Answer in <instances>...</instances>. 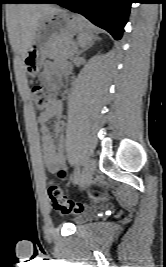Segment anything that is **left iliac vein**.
<instances>
[{
    "label": "left iliac vein",
    "instance_id": "obj_1",
    "mask_svg": "<svg viewBox=\"0 0 166 267\" xmlns=\"http://www.w3.org/2000/svg\"><path fill=\"white\" fill-rule=\"evenodd\" d=\"M95 171V161L93 159H88L85 163L84 170L80 179L81 188H86L94 175Z\"/></svg>",
    "mask_w": 166,
    "mask_h": 267
}]
</instances>
